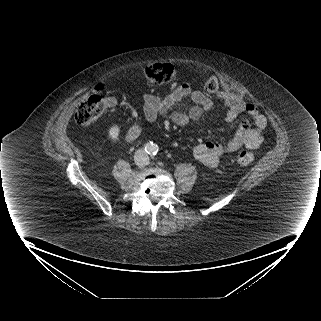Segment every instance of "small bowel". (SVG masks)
Returning <instances> with one entry per match:
<instances>
[{"label": "small bowel", "instance_id": "1", "mask_svg": "<svg viewBox=\"0 0 321 321\" xmlns=\"http://www.w3.org/2000/svg\"><path fill=\"white\" fill-rule=\"evenodd\" d=\"M216 97L226 108L224 121L233 122L243 113L246 114L247 119L239 123L234 136L227 142L208 141L193 147L194 158L210 168L218 166L223 154L242 146L252 150L259 148L264 141L263 132L267 126L265 115L260 113L254 105L246 104L238 96L227 92H220ZM185 98H190L194 105L188 112L177 111L172 114L171 119L178 126H185L190 121L198 120L213 105L212 98L203 91L194 90L188 84H181L164 97L146 94L144 96L145 118L153 122L160 114L168 112ZM106 104L109 107L115 106V97H108ZM140 132V125L134 123L129 127L125 138L127 141H134Z\"/></svg>", "mask_w": 321, "mask_h": 321}]
</instances>
